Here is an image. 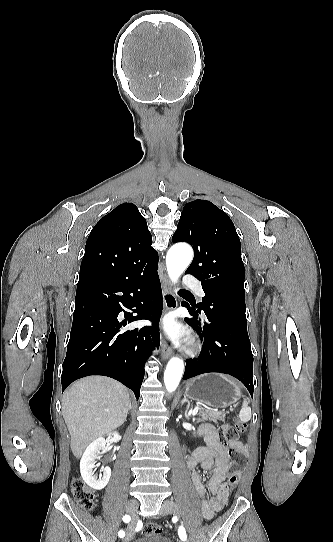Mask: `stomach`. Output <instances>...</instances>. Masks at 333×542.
Segmentation results:
<instances>
[{"label": "stomach", "mask_w": 333, "mask_h": 542, "mask_svg": "<svg viewBox=\"0 0 333 542\" xmlns=\"http://www.w3.org/2000/svg\"><path fill=\"white\" fill-rule=\"evenodd\" d=\"M237 388L238 382L233 378H222L220 374H203L186 382L185 394L191 400L211 408H228L234 406L240 398Z\"/></svg>", "instance_id": "stomach-1"}]
</instances>
